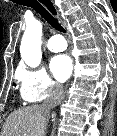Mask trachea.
Returning <instances> with one entry per match:
<instances>
[{"label":"trachea","instance_id":"1","mask_svg":"<svg viewBox=\"0 0 117 136\" xmlns=\"http://www.w3.org/2000/svg\"><path fill=\"white\" fill-rule=\"evenodd\" d=\"M20 5L28 6L33 8L38 14H40L55 30L66 33L65 29L61 26V24L54 18V16L48 11H51V5H44L48 8V10L37 0H18Z\"/></svg>","mask_w":117,"mask_h":136}]
</instances>
